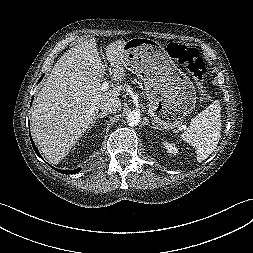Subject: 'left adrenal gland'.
Instances as JSON below:
<instances>
[{
    "label": "left adrenal gland",
    "instance_id": "left-adrenal-gland-1",
    "mask_svg": "<svg viewBox=\"0 0 253 253\" xmlns=\"http://www.w3.org/2000/svg\"><path fill=\"white\" fill-rule=\"evenodd\" d=\"M153 128L161 130V128H159L158 126H155L154 124H153Z\"/></svg>",
    "mask_w": 253,
    "mask_h": 253
}]
</instances>
